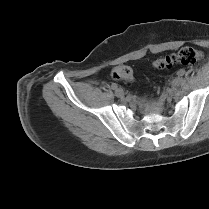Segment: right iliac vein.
Segmentation results:
<instances>
[{
	"mask_svg": "<svg viewBox=\"0 0 209 209\" xmlns=\"http://www.w3.org/2000/svg\"><path fill=\"white\" fill-rule=\"evenodd\" d=\"M115 95H116L117 97H123V96H124V91H123V89H121V88L116 89V90H115Z\"/></svg>",
	"mask_w": 209,
	"mask_h": 209,
	"instance_id": "63e3f726",
	"label": "right iliac vein"
}]
</instances>
